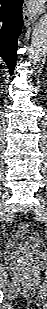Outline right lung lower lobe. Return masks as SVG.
Returning a JSON list of instances; mask_svg holds the SVG:
<instances>
[{
    "label": "right lung lower lobe",
    "mask_w": 47,
    "mask_h": 309,
    "mask_svg": "<svg viewBox=\"0 0 47 309\" xmlns=\"http://www.w3.org/2000/svg\"><path fill=\"white\" fill-rule=\"evenodd\" d=\"M23 0H0V57L12 75L16 65L17 38L22 27Z\"/></svg>",
    "instance_id": "1"
}]
</instances>
